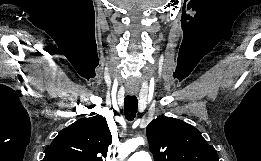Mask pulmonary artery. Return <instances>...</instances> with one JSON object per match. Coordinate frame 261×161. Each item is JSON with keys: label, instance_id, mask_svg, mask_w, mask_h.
Wrapping results in <instances>:
<instances>
[{"label": "pulmonary artery", "instance_id": "e3ab8cb5", "mask_svg": "<svg viewBox=\"0 0 261 161\" xmlns=\"http://www.w3.org/2000/svg\"><path fill=\"white\" fill-rule=\"evenodd\" d=\"M127 161H152V158L146 150H138Z\"/></svg>", "mask_w": 261, "mask_h": 161}]
</instances>
